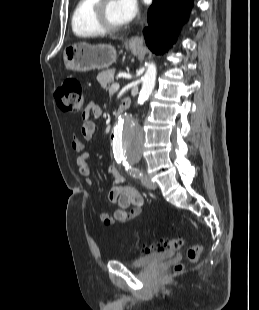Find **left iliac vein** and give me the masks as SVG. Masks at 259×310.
Masks as SVG:
<instances>
[{
    "mask_svg": "<svg viewBox=\"0 0 259 310\" xmlns=\"http://www.w3.org/2000/svg\"><path fill=\"white\" fill-rule=\"evenodd\" d=\"M142 184L148 189L155 190L157 185L151 181L150 177L146 173H142L140 176Z\"/></svg>",
    "mask_w": 259,
    "mask_h": 310,
    "instance_id": "left-iliac-vein-1",
    "label": "left iliac vein"
}]
</instances>
